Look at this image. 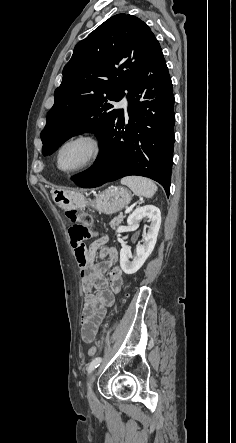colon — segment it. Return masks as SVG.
Here are the masks:
<instances>
[{
  "label": "colon",
  "mask_w": 236,
  "mask_h": 443,
  "mask_svg": "<svg viewBox=\"0 0 236 443\" xmlns=\"http://www.w3.org/2000/svg\"><path fill=\"white\" fill-rule=\"evenodd\" d=\"M66 216L73 223V226L69 229L70 237L74 240L84 241L91 237L94 231L93 217L81 210L68 209L66 210ZM81 248H84L82 245ZM98 343H95L88 348V356H94L98 351Z\"/></svg>",
  "instance_id": "5ec220e1"
}]
</instances>
